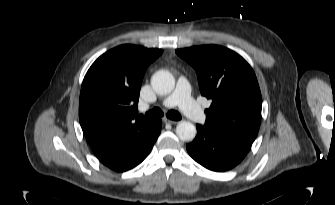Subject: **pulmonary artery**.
I'll return each instance as SVG.
<instances>
[{"instance_id":"1","label":"pulmonary artery","mask_w":335,"mask_h":205,"mask_svg":"<svg viewBox=\"0 0 335 205\" xmlns=\"http://www.w3.org/2000/svg\"><path fill=\"white\" fill-rule=\"evenodd\" d=\"M190 92L189 82L184 77H180L174 92L162 104L167 108L178 106L193 122L203 123L205 121V114L192 99Z\"/></svg>"}]
</instances>
